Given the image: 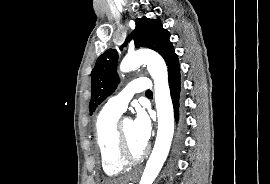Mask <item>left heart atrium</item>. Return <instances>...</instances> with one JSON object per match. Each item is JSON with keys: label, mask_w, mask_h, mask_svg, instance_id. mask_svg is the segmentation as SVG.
Wrapping results in <instances>:
<instances>
[{"label": "left heart atrium", "mask_w": 270, "mask_h": 184, "mask_svg": "<svg viewBox=\"0 0 270 184\" xmlns=\"http://www.w3.org/2000/svg\"><path fill=\"white\" fill-rule=\"evenodd\" d=\"M134 128L137 137L140 141L144 144H147L148 140L150 139L152 127L151 122L143 110H138L135 119L133 120Z\"/></svg>", "instance_id": "obj_1"}]
</instances>
